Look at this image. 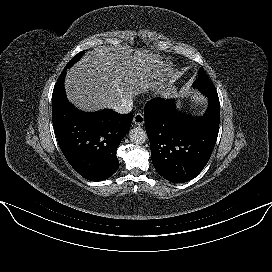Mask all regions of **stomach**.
<instances>
[{"instance_id":"0dacf381","label":"stomach","mask_w":272,"mask_h":272,"mask_svg":"<svg viewBox=\"0 0 272 272\" xmlns=\"http://www.w3.org/2000/svg\"><path fill=\"white\" fill-rule=\"evenodd\" d=\"M170 95H171V96H174V95H175V89L170 90Z\"/></svg>"}]
</instances>
